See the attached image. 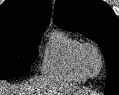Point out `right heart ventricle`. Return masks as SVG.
Instances as JSON below:
<instances>
[{
    "label": "right heart ventricle",
    "mask_w": 119,
    "mask_h": 95,
    "mask_svg": "<svg viewBox=\"0 0 119 95\" xmlns=\"http://www.w3.org/2000/svg\"><path fill=\"white\" fill-rule=\"evenodd\" d=\"M80 43L79 38L66 31H53L43 51L41 72L53 78L84 82L87 78L74 62V53Z\"/></svg>",
    "instance_id": "obj_1"
}]
</instances>
